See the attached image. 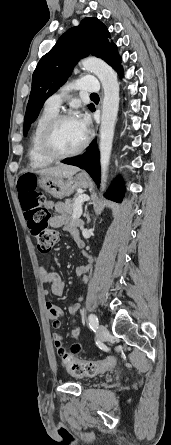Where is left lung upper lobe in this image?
Returning a JSON list of instances; mask_svg holds the SVG:
<instances>
[{"mask_svg": "<svg viewBox=\"0 0 171 445\" xmlns=\"http://www.w3.org/2000/svg\"><path fill=\"white\" fill-rule=\"evenodd\" d=\"M109 37L106 26L100 20L85 18L79 26L65 32L41 58L32 76V88L24 117L25 136L45 100L66 82L80 58L93 55L116 70L121 67L117 47ZM88 107L92 110L94 106L90 104Z\"/></svg>", "mask_w": 171, "mask_h": 445, "instance_id": "5c2ea615", "label": "left lung upper lobe"}]
</instances>
